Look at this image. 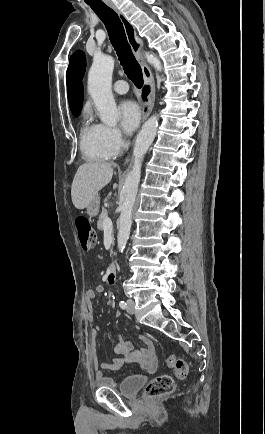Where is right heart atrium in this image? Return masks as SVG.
I'll return each mask as SVG.
<instances>
[{
  "mask_svg": "<svg viewBox=\"0 0 265 434\" xmlns=\"http://www.w3.org/2000/svg\"><path fill=\"white\" fill-rule=\"evenodd\" d=\"M101 138L103 141H110L112 143L107 148L109 153L122 154L128 135L126 132H119L118 125H105Z\"/></svg>",
  "mask_w": 265,
  "mask_h": 434,
  "instance_id": "d8ad5b80",
  "label": "right heart atrium"
}]
</instances>
